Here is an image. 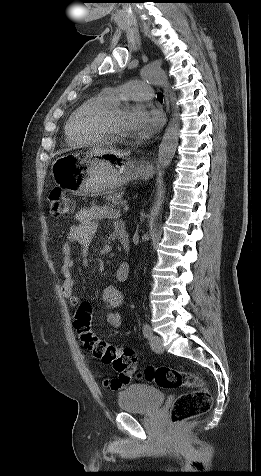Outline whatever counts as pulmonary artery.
<instances>
[{
    "instance_id": "e3ab8cb5",
    "label": "pulmonary artery",
    "mask_w": 261,
    "mask_h": 476,
    "mask_svg": "<svg viewBox=\"0 0 261 476\" xmlns=\"http://www.w3.org/2000/svg\"><path fill=\"white\" fill-rule=\"evenodd\" d=\"M115 100H149L152 98L151 86L142 81H129L119 87L107 91Z\"/></svg>"
}]
</instances>
